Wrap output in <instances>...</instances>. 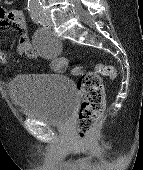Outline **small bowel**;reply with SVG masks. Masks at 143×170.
<instances>
[{
	"label": "small bowel",
	"mask_w": 143,
	"mask_h": 170,
	"mask_svg": "<svg viewBox=\"0 0 143 170\" xmlns=\"http://www.w3.org/2000/svg\"><path fill=\"white\" fill-rule=\"evenodd\" d=\"M15 28L19 34V40L17 49L21 55L28 58L35 59L38 57V51L31 43L27 36V21L24 12L20 9H6L0 4V31ZM50 45L58 50L60 45L57 41H51ZM61 58L51 56L50 67L52 70L57 71L59 69V60ZM6 63V54L4 50L0 48V64Z\"/></svg>",
	"instance_id": "obj_1"
}]
</instances>
